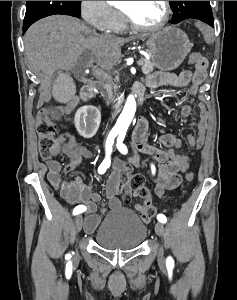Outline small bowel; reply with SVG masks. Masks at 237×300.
<instances>
[{
  "label": "small bowel",
  "instance_id": "small-bowel-1",
  "mask_svg": "<svg viewBox=\"0 0 237 300\" xmlns=\"http://www.w3.org/2000/svg\"><path fill=\"white\" fill-rule=\"evenodd\" d=\"M207 77V62L204 65H195V70H185L179 73L156 72L147 77L144 84H139L138 89L143 87H159L169 85L174 87H190V94L195 95ZM185 102L181 109L180 117L185 118L192 113L193 99L190 96L182 97ZM77 105V100L70 101L65 107L60 108L61 114H69ZM199 122L197 125V134H188L186 141L193 149L198 150L202 147L207 129L208 113L203 104L199 105ZM149 121L146 117H140L131 136V147L134 153H142L151 157L158 165V174L153 181L156 183L155 193L162 197L166 190L176 188L182 180L181 174L185 172L192 161V155L184 152L177 153L180 150L182 142L172 134H162L159 136V144L163 147H157L151 144L147 139ZM64 153L71 160L89 158L92 152L83 146L71 147L66 145ZM130 163L140 165L137 156L130 158ZM47 178L50 184L56 189L60 196L72 205H83L86 207V218L84 227L88 232H92L100 223L102 216L106 213L105 208L98 206L101 201V195L93 189L90 182L86 183L81 177L76 176L71 181H66L61 175V164L58 161L50 160L47 162ZM131 170V165L123 161H116L113 165V172L110 175L105 189L108 199V208L110 210H119L122 207V200L119 198L121 193L120 178L123 172ZM130 195L127 193L124 200H129ZM135 209L141 214L144 221L148 218L144 213V206L135 205Z\"/></svg>",
  "mask_w": 237,
  "mask_h": 300
}]
</instances>
